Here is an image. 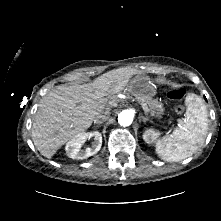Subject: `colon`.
<instances>
[{
	"label": "colon",
	"mask_w": 221,
	"mask_h": 221,
	"mask_svg": "<svg viewBox=\"0 0 221 221\" xmlns=\"http://www.w3.org/2000/svg\"><path fill=\"white\" fill-rule=\"evenodd\" d=\"M186 91L183 88H175L169 91L168 97L172 101L180 102L185 97ZM176 111L181 113L183 111V107L180 104H177Z\"/></svg>",
	"instance_id": "1"
}]
</instances>
